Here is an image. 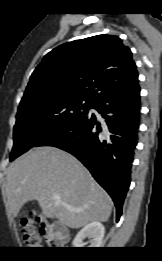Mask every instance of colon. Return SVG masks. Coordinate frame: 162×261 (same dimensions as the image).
<instances>
[{
	"label": "colon",
	"instance_id": "5ec220e1",
	"mask_svg": "<svg viewBox=\"0 0 162 261\" xmlns=\"http://www.w3.org/2000/svg\"><path fill=\"white\" fill-rule=\"evenodd\" d=\"M21 225L24 242L30 248H39L43 243L61 247L66 242L62 229L54 222L42 223L37 229L33 223V216L29 215L23 217Z\"/></svg>",
	"mask_w": 162,
	"mask_h": 261
}]
</instances>
